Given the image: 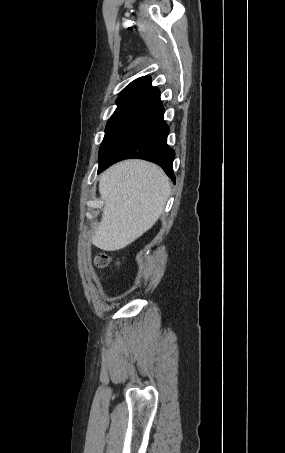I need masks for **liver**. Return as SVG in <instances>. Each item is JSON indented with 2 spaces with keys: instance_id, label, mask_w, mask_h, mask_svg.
<instances>
[{
  "instance_id": "6515ba94",
  "label": "liver",
  "mask_w": 285,
  "mask_h": 453,
  "mask_svg": "<svg viewBox=\"0 0 285 453\" xmlns=\"http://www.w3.org/2000/svg\"><path fill=\"white\" fill-rule=\"evenodd\" d=\"M99 192L104 208L91 242L101 250L116 251L155 224L170 195V183L159 166L126 160L101 174Z\"/></svg>"
}]
</instances>
